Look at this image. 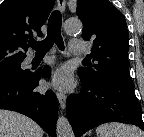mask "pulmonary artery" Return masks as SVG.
Returning <instances> with one entry per match:
<instances>
[{
  "instance_id": "obj_1",
  "label": "pulmonary artery",
  "mask_w": 144,
  "mask_h": 137,
  "mask_svg": "<svg viewBox=\"0 0 144 137\" xmlns=\"http://www.w3.org/2000/svg\"><path fill=\"white\" fill-rule=\"evenodd\" d=\"M69 49L72 54H82L84 51V42L81 40H70Z\"/></svg>"
}]
</instances>
